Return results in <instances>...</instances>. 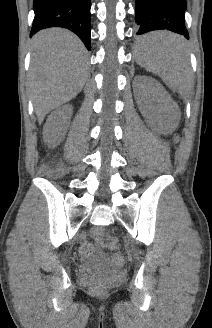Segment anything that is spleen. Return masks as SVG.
<instances>
[{"instance_id": "obj_1", "label": "spleen", "mask_w": 212, "mask_h": 328, "mask_svg": "<svg viewBox=\"0 0 212 328\" xmlns=\"http://www.w3.org/2000/svg\"><path fill=\"white\" fill-rule=\"evenodd\" d=\"M145 38L150 45L137 47V63L158 75L171 89L179 92L189 89L191 69L183 37L170 32H155Z\"/></svg>"}]
</instances>
